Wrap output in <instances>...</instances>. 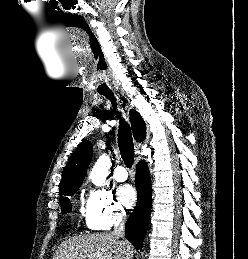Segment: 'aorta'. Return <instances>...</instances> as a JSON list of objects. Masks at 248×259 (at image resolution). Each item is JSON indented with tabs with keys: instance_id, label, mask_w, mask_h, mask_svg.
I'll use <instances>...</instances> for the list:
<instances>
[{
	"instance_id": "aorta-1",
	"label": "aorta",
	"mask_w": 248,
	"mask_h": 259,
	"mask_svg": "<svg viewBox=\"0 0 248 259\" xmlns=\"http://www.w3.org/2000/svg\"><path fill=\"white\" fill-rule=\"evenodd\" d=\"M111 160L108 155H102L95 163L90 178L96 186H103L109 173Z\"/></svg>"
}]
</instances>
